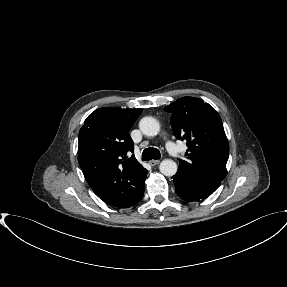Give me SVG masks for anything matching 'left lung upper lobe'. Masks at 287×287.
<instances>
[{
	"mask_svg": "<svg viewBox=\"0 0 287 287\" xmlns=\"http://www.w3.org/2000/svg\"><path fill=\"white\" fill-rule=\"evenodd\" d=\"M172 114L177 139L187 143L186 160H179L176 175L188 182L221 183L227 175L229 146L219 114L208 103L183 97L164 108Z\"/></svg>",
	"mask_w": 287,
	"mask_h": 287,
	"instance_id": "5c2ea615",
	"label": "left lung upper lobe"
}]
</instances>
